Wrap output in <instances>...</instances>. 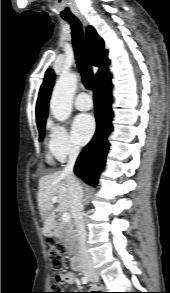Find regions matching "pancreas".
I'll list each match as a JSON object with an SVG mask.
<instances>
[{
	"label": "pancreas",
	"instance_id": "1",
	"mask_svg": "<svg viewBox=\"0 0 170 293\" xmlns=\"http://www.w3.org/2000/svg\"><path fill=\"white\" fill-rule=\"evenodd\" d=\"M54 234L58 240H60L63 245H65L69 252L74 254L76 250V231L73 224L59 223Z\"/></svg>",
	"mask_w": 170,
	"mask_h": 293
}]
</instances>
